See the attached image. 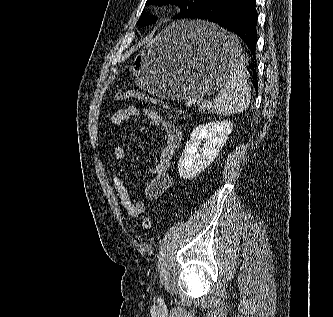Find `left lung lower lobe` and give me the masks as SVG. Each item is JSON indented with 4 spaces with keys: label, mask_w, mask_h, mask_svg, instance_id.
Wrapping results in <instances>:
<instances>
[{
    "label": "left lung lower lobe",
    "mask_w": 333,
    "mask_h": 317,
    "mask_svg": "<svg viewBox=\"0 0 333 317\" xmlns=\"http://www.w3.org/2000/svg\"><path fill=\"white\" fill-rule=\"evenodd\" d=\"M188 19L209 21L237 34L245 42L251 54L255 55L258 19L256 0H213L207 6L191 13ZM249 65L251 82L257 88L256 64Z\"/></svg>",
    "instance_id": "obj_1"
}]
</instances>
